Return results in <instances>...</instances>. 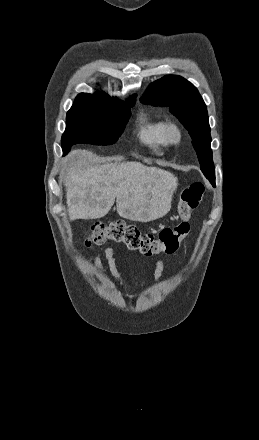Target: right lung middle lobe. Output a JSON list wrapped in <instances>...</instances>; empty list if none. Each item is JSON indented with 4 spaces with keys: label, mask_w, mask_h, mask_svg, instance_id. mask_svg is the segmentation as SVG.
Listing matches in <instances>:
<instances>
[{
    "label": "right lung middle lobe",
    "mask_w": 259,
    "mask_h": 440,
    "mask_svg": "<svg viewBox=\"0 0 259 440\" xmlns=\"http://www.w3.org/2000/svg\"><path fill=\"white\" fill-rule=\"evenodd\" d=\"M135 99L107 108L73 104L67 112L66 130L62 135L63 151L77 143L110 145L117 141L130 116Z\"/></svg>",
    "instance_id": "right-lung-middle-lobe-1"
}]
</instances>
